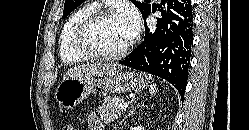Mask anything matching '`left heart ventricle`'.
<instances>
[{
    "label": "left heart ventricle",
    "instance_id": "obj_1",
    "mask_svg": "<svg viewBox=\"0 0 249 130\" xmlns=\"http://www.w3.org/2000/svg\"><path fill=\"white\" fill-rule=\"evenodd\" d=\"M90 40L99 51L116 53L130 41V38L118 15H114L96 23L91 30Z\"/></svg>",
    "mask_w": 249,
    "mask_h": 130
}]
</instances>
